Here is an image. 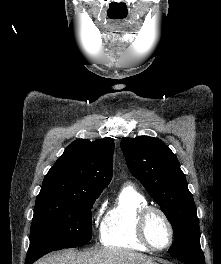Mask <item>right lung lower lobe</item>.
Returning <instances> with one entry per match:
<instances>
[{"instance_id":"1","label":"right lung lower lobe","mask_w":221,"mask_h":264,"mask_svg":"<svg viewBox=\"0 0 221 264\" xmlns=\"http://www.w3.org/2000/svg\"><path fill=\"white\" fill-rule=\"evenodd\" d=\"M40 257L41 256H34V257H31V258H26L25 264H33Z\"/></svg>"}]
</instances>
